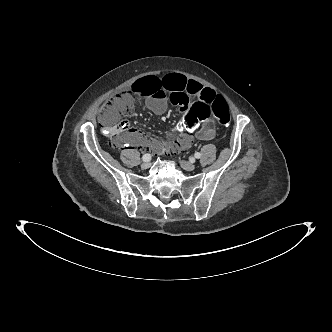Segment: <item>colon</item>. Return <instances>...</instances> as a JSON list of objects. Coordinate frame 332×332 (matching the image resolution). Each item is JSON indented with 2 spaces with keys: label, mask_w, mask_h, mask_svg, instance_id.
I'll return each mask as SVG.
<instances>
[{
  "label": "colon",
  "mask_w": 332,
  "mask_h": 332,
  "mask_svg": "<svg viewBox=\"0 0 332 332\" xmlns=\"http://www.w3.org/2000/svg\"><path fill=\"white\" fill-rule=\"evenodd\" d=\"M135 97L131 93H123L106 104L103 112L104 126L108 129L110 134V146L112 148L118 147L122 144L121 132L119 125L121 118L135 107ZM210 111L217 121L226 126L230 122V111L226 101L216 96L211 103ZM209 111L206 106L197 104L192 107L191 111L186 116L179 119L178 124L171 127L169 140L174 138H181L182 132H190L197 128L199 123L207 120ZM177 131V133L175 132Z\"/></svg>",
  "instance_id": "1"
}]
</instances>
